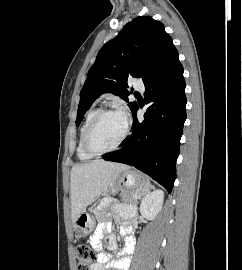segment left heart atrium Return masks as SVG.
I'll return each instance as SVG.
<instances>
[{
    "label": "left heart atrium",
    "mask_w": 242,
    "mask_h": 270,
    "mask_svg": "<svg viewBox=\"0 0 242 270\" xmlns=\"http://www.w3.org/2000/svg\"><path fill=\"white\" fill-rule=\"evenodd\" d=\"M121 114H122V116L124 117L125 121H127V119H128L127 111H126L125 109H123V110L121 111Z\"/></svg>",
    "instance_id": "1"
}]
</instances>
